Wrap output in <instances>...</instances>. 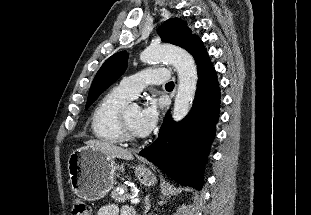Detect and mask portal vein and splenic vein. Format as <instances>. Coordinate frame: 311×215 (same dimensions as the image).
<instances>
[{"mask_svg": "<svg viewBox=\"0 0 311 215\" xmlns=\"http://www.w3.org/2000/svg\"><path fill=\"white\" fill-rule=\"evenodd\" d=\"M130 199L131 204H138L140 202L139 199L135 197H131Z\"/></svg>", "mask_w": 311, "mask_h": 215, "instance_id": "18ae733b", "label": "portal vein and splenic vein"}]
</instances>
